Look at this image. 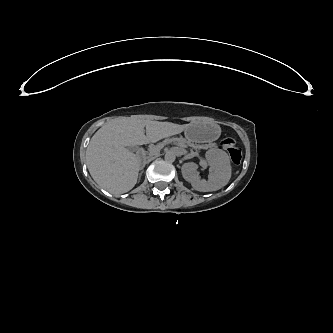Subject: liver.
<instances>
[{
    "label": "liver",
    "mask_w": 333,
    "mask_h": 333,
    "mask_svg": "<svg viewBox=\"0 0 333 333\" xmlns=\"http://www.w3.org/2000/svg\"><path fill=\"white\" fill-rule=\"evenodd\" d=\"M163 136L115 137L110 133L97 134L86 150L87 167L92 178L110 192L129 191L137 182L140 158L127 147L155 142Z\"/></svg>",
    "instance_id": "6515ba94"
}]
</instances>
